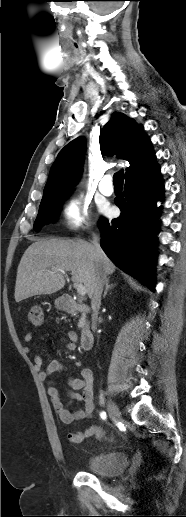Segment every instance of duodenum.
<instances>
[{
	"label": "duodenum",
	"instance_id": "1",
	"mask_svg": "<svg viewBox=\"0 0 186 517\" xmlns=\"http://www.w3.org/2000/svg\"><path fill=\"white\" fill-rule=\"evenodd\" d=\"M61 302L64 311L69 314L82 313L83 315H87L91 311L89 306L75 301L70 295H64ZM93 340L94 335L92 330L87 326H83L80 331V344L82 349L88 351L93 344Z\"/></svg>",
	"mask_w": 186,
	"mask_h": 517
}]
</instances>
